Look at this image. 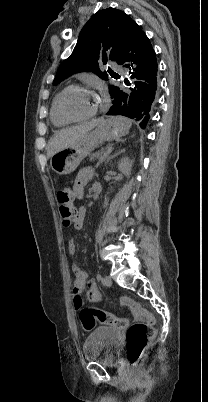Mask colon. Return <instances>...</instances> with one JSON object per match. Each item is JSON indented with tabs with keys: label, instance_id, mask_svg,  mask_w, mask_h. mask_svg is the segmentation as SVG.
Listing matches in <instances>:
<instances>
[{
	"label": "colon",
	"instance_id": "obj_1",
	"mask_svg": "<svg viewBox=\"0 0 208 402\" xmlns=\"http://www.w3.org/2000/svg\"><path fill=\"white\" fill-rule=\"evenodd\" d=\"M57 201L61 215L62 224L70 227L78 222V213L75 210V188L71 186H62L57 192ZM119 303L123 308H128L130 300L128 297H121ZM78 305L81 307L79 319L81 328L85 332L92 331L97 325H113L116 327H125L126 321L122 317L103 311L96 307L86 306L83 299L79 297ZM138 314L147 316L145 310L139 304H131ZM155 326L152 320L146 323L128 324L127 327V349L128 359L131 363L137 362L149 341L153 337Z\"/></svg>",
	"mask_w": 208,
	"mask_h": 402
}]
</instances>
